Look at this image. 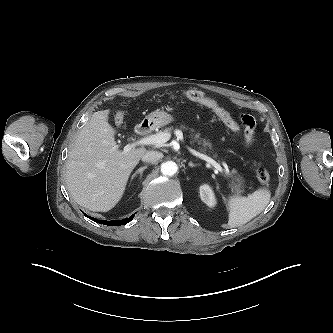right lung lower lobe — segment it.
<instances>
[{"label":"right lung lower lobe","mask_w":333,"mask_h":333,"mask_svg":"<svg viewBox=\"0 0 333 333\" xmlns=\"http://www.w3.org/2000/svg\"><path fill=\"white\" fill-rule=\"evenodd\" d=\"M86 217L90 218L91 220L100 223V224H104V225H109V226H118V225H124L127 224L128 222H130L133 217L134 214L131 215L129 218L126 219H122V220H112V221H105V220H98V219H94L93 217H89L88 215L84 214Z\"/></svg>","instance_id":"right-lung-lower-lobe-1"}]
</instances>
